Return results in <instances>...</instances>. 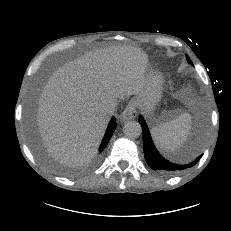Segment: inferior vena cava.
<instances>
[{
	"instance_id": "602c4592",
	"label": "inferior vena cava",
	"mask_w": 231,
	"mask_h": 231,
	"mask_svg": "<svg viewBox=\"0 0 231 231\" xmlns=\"http://www.w3.org/2000/svg\"><path fill=\"white\" fill-rule=\"evenodd\" d=\"M115 110H116V105L114 103H111V104L107 105V107H106V112L108 114H112Z\"/></svg>"
}]
</instances>
